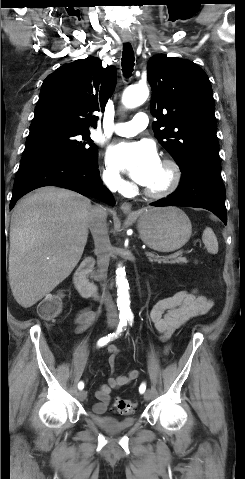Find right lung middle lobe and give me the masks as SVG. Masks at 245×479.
<instances>
[{"label":"right lung middle lobe","instance_id":"right-lung-middle-lobe-1","mask_svg":"<svg viewBox=\"0 0 245 479\" xmlns=\"http://www.w3.org/2000/svg\"><path fill=\"white\" fill-rule=\"evenodd\" d=\"M44 155H65L98 165V148L87 129L58 124L31 127L21 161Z\"/></svg>","mask_w":245,"mask_h":479}]
</instances>
